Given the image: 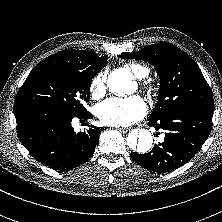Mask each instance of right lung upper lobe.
<instances>
[{
    "label": "right lung upper lobe",
    "instance_id": "cb5924a9",
    "mask_svg": "<svg viewBox=\"0 0 222 222\" xmlns=\"http://www.w3.org/2000/svg\"><path fill=\"white\" fill-rule=\"evenodd\" d=\"M107 58V56L98 57L97 54L85 50H63L42 60L31 72L50 67H72L100 71L107 63Z\"/></svg>",
    "mask_w": 222,
    "mask_h": 222
}]
</instances>
